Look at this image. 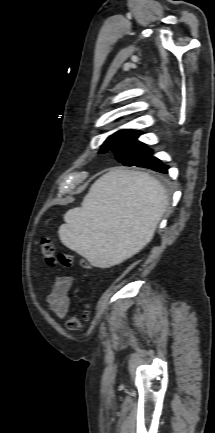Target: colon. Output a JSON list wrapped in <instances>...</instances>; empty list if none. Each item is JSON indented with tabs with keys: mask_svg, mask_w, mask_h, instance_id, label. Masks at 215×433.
<instances>
[{
	"mask_svg": "<svg viewBox=\"0 0 215 433\" xmlns=\"http://www.w3.org/2000/svg\"><path fill=\"white\" fill-rule=\"evenodd\" d=\"M41 252L50 266L60 265L62 267H70L73 265L75 257L72 253H56L54 243L51 238L43 237L41 239ZM80 265L87 268L89 264L86 261H81ZM89 319V311L83 310L80 314L68 318L66 328L68 331L77 332L84 328L86 321Z\"/></svg>",
	"mask_w": 215,
	"mask_h": 433,
	"instance_id": "5ec220e1",
	"label": "colon"
}]
</instances>
